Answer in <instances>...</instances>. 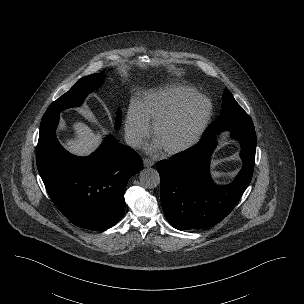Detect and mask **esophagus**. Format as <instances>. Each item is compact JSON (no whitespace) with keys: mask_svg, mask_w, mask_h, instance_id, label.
Instances as JSON below:
<instances>
[{"mask_svg":"<svg viewBox=\"0 0 304 304\" xmlns=\"http://www.w3.org/2000/svg\"><path fill=\"white\" fill-rule=\"evenodd\" d=\"M143 164H144V167H152V166H154L155 163L153 160H151L149 158H145L143 160Z\"/></svg>","mask_w":304,"mask_h":304,"instance_id":"esophagus-1","label":"esophagus"}]
</instances>
